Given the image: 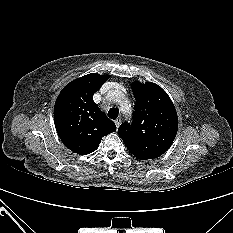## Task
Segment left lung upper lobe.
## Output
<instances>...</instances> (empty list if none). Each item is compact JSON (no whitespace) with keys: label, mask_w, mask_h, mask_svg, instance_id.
Listing matches in <instances>:
<instances>
[{"label":"left lung upper lobe","mask_w":233,"mask_h":233,"mask_svg":"<svg viewBox=\"0 0 233 233\" xmlns=\"http://www.w3.org/2000/svg\"><path fill=\"white\" fill-rule=\"evenodd\" d=\"M136 99L132 124L123 123L118 134L136 158L147 160L164 154L178 130L176 109L167 93L157 84L135 81Z\"/></svg>","instance_id":"5c2ea615"}]
</instances>
